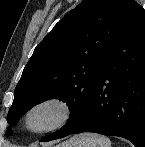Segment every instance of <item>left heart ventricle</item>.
Returning a JSON list of instances; mask_svg holds the SVG:
<instances>
[{
    "label": "left heart ventricle",
    "mask_w": 145,
    "mask_h": 147,
    "mask_svg": "<svg viewBox=\"0 0 145 147\" xmlns=\"http://www.w3.org/2000/svg\"><path fill=\"white\" fill-rule=\"evenodd\" d=\"M58 116L56 109L50 108L39 112L33 119L35 126L47 125L53 122Z\"/></svg>",
    "instance_id": "1"
}]
</instances>
